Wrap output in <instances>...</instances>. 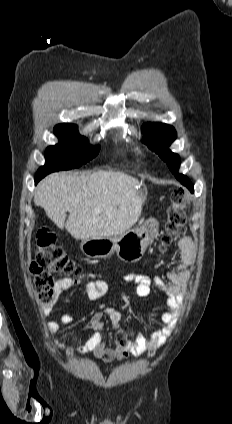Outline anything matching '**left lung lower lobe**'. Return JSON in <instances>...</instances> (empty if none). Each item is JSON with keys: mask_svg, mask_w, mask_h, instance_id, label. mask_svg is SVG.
<instances>
[{"mask_svg": "<svg viewBox=\"0 0 232 424\" xmlns=\"http://www.w3.org/2000/svg\"><path fill=\"white\" fill-rule=\"evenodd\" d=\"M184 186H186L191 192H193V185L187 177L179 180Z\"/></svg>", "mask_w": 232, "mask_h": 424, "instance_id": "0a47b994", "label": "left lung lower lobe"}]
</instances>
